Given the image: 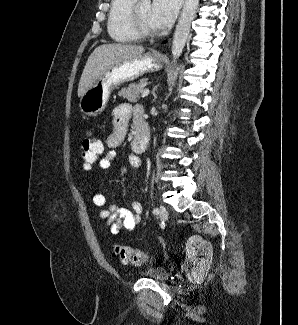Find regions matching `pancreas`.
<instances>
[{
  "label": "pancreas",
  "mask_w": 298,
  "mask_h": 325,
  "mask_svg": "<svg viewBox=\"0 0 298 325\" xmlns=\"http://www.w3.org/2000/svg\"><path fill=\"white\" fill-rule=\"evenodd\" d=\"M148 80L149 78H140V80H137V82H131V84H127V86H124V88H120L118 96L127 98L129 102H137L141 96L143 86H145Z\"/></svg>",
  "instance_id": "cf45deb5"
}]
</instances>
